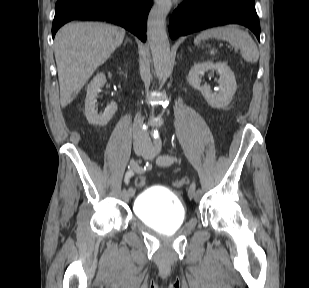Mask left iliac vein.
Instances as JSON below:
<instances>
[{
  "instance_id": "1",
  "label": "left iliac vein",
  "mask_w": 309,
  "mask_h": 288,
  "mask_svg": "<svg viewBox=\"0 0 309 288\" xmlns=\"http://www.w3.org/2000/svg\"><path fill=\"white\" fill-rule=\"evenodd\" d=\"M154 157H155V152L152 149H149L148 150V154L146 156H144L145 159H153ZM201 193L196 194V192H195V194H194L192 190L188 191L189 197L190 198H194L195 200H199L200 199Z\"/></svg>"
}]
</instances>
